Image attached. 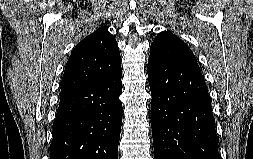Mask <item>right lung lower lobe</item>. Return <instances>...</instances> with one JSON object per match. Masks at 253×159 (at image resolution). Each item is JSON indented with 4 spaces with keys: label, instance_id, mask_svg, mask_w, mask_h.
<instances>
[{
    "label": "right lung lower lobe",
    "instance_id": "obj_1",
    "mask_svg": "<svg viewBox=\"0 0 253 159\" xmlns=\"http://www.w3.org/2000/svg\"><path fill=\"white\" fill-rule=\"evenodd\" d=\"M121 77L120 68L60 98L50 159H118Z\"/></svg>",
    "mask_w": 253,
    "mask_h": 159
}]
</instances>
